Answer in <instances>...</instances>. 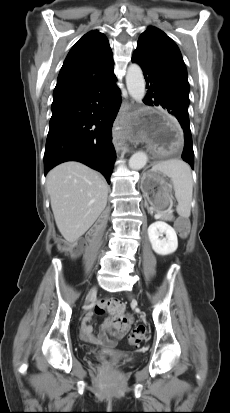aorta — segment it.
<instances>
[{
    "label": "aorta",
    "mask_w": 230,
    "mask_h": 413,
    "mask_svg": "<svg viewBox=\"0 0 230 413\" xmlns=\"http://www.w3.org/2000/svg\"><path fill=\"white\" fill-rule=\"evenodd\" d=\"M126 85L130 96L141 102L145 96V80L141 67L138 64H131L127 69ZM148 161L144 152H136L129 159V167L133 170L142 169Z\"/></svg>",
    "instance_id": "762f6f07"
}]
</instances>
